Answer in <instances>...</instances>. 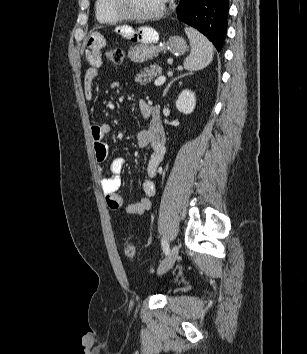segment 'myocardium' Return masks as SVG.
I'll use <instances>...</instances> for the list:
<instances>
[{"label": "myocardium", "instance_id": "obj_1", "mask_svg": "<svg viewBox=\"0 0 307 354\" xmlns=\"http://www.w3.org/2000/svg\"><path fill=\"white\" fill-rule=\"evenodd\" d=\"M110 8L115 15L123 20H138V21H148L155 20L162 17L167 9L168 0H164L162 6L155 12L137 14L128 11L125 8L124 0H109Z\"/></svg>", "mask_w": 307, "mask_h": 354}]
</instances>
